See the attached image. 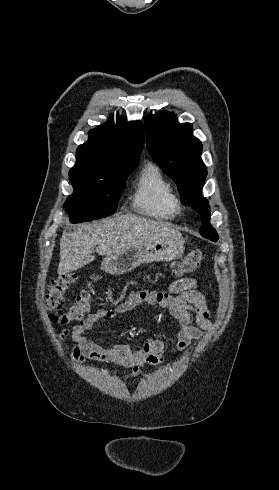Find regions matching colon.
<instances>
[{"label": "colon", "instance_id": "1", "mask_svg": "<svg viewBox=\"0 0 279 490\" xmlns=\"http://www.w3.org/2000/svg\"><path fill=\"white\" fill-rule=\"evenodd\" d=\"M203 258L201 249L189 252L183 259L174 262L172 274L180 277L191 273L197 268ZM76 275L71 272L62 273L55 277L47 289L46 308L49 311L51 321L54 323L67 324L82 321L90 312L91 286L83 289L77 295L75 302L65 307V294L70 285L75 283Z\"/></svg>", "mask_w": 279, "mask_h": 490}]
</instances>
